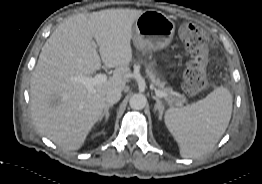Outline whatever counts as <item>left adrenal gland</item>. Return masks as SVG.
Instances as JSON below:
<instances>
[{
  "label": "left adrenal gland",
  "mask_w": 262,
  "mask_h": 184,
  "mask_svg": "<svg viewBox=\"0 0 262 184\" xmlns=\"http://www.w3.org/2000/svg\"><path fill=\"white\" fill-rule=\"evenodd\" d=\"M152 98L156 101V105L154 106V113L156 114L158 112V117L161 118L162 111H163L162 102L156 96H152Z\"/></svg>",
  "instance_id": "obj_1"
}]
</instances>
